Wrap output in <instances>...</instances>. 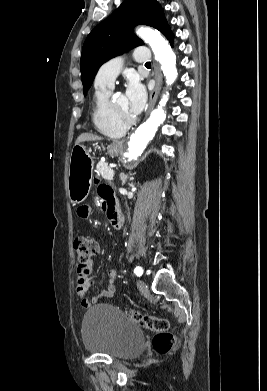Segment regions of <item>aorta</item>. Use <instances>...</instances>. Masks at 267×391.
I'll list each match as a JSON object with an SVG mask.
<instances>
[{"mask_svg":"<svg viewBox=\"0 0 267 391\" xmlns=\"http://www.w3.org/2000/svg\"><path fill=\"white\" fill-rule=\"evenodd\" d=\"M137 35L151 47L156 60L161 65V70L166 78L167 85L175 82L178 72L176 68V55L168 42L161 34L150 28H140ZM169 93L162 96L157 107L150 114V117L135 131L128 142V149L125 154L127 159L136 158L145 150L148 142L155 136L158 128L164 122L166 113L163 107L168 101Z\"/></svg>","mask_w":267,"mask_h":391,"instance_id":"762f6f07","label":"aorta"}]
</instances>
